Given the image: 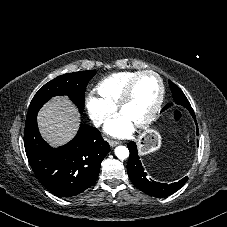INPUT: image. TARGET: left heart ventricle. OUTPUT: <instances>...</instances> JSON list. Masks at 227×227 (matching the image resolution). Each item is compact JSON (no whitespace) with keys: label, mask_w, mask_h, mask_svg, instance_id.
Wrapping results in <instances>:
<instances>
[{"label":"left heart ventricle","mask_w":227,"mask_h":227,"mask_svg":"<svg viewBox=\"0 0 227 227\" xmlns=\"http://www.w3.org/2000/svg\"><path fill=\"white\" fill-rule=\"evenodd\" d=\"M159 91L158 81L152 75L142 76L131 99L125 104L121 111L131 124L143 120L153 107Z\"/></svg>","instance_id":"1"}]
</instances>
